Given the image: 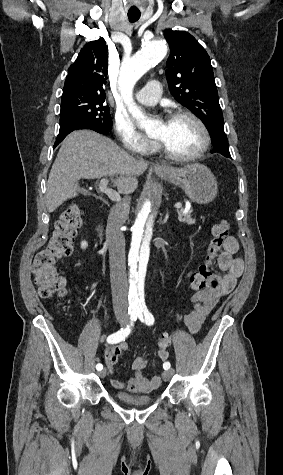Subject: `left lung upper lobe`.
<instances>
[{
  "label": "left lung upper lobe",
  "instance_id": "1",
  "mask_svg": "<svg viewBox=\"0 0 283 475\" xmlns=\"http://www.w3.org/2000/svg\"><path fill=\"white\" fill-rule=\"evenodd\" d=\"M164 36L170 46L166 77L172 96L199 117L210 134L224 133L209 55L185 31L166 30Z\"/></svg>",
  "mask_w": 283,
  "mask_h": 475
}]
</instances>
